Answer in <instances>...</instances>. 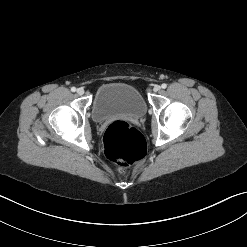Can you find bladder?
<instances>
[{
  "label": "bladder",
  "mask_w": 247,
  "mask_h": 247,
  "mask_svg": "<svg viewBox=\"0 0 247 247\" xmlns=\"http://www.w3.org/2000/svg\"><path fill=\"white\" fill-rule=\"evenodd\" d=\"M146 110V102L137 88L125 83H106L95 93L92 117L96 122L116 116L140 118Z\"/></svg>",
  "instance_id": "obj_1"
}]
</instances>
